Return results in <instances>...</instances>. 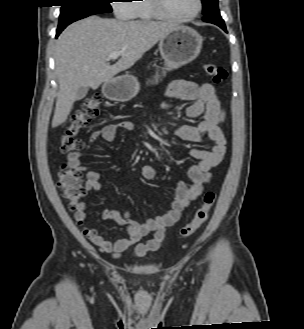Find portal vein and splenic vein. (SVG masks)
<instances>
[{
    "mask_svg": "<svg viewBox=\"0 0 304 329\" xmlns=\"http://www.w3.org/2000/svg\"><path fill=\"white\" fill-rule=\"evenodd\" d=\"M121 55H122L121 52H113V53H110V54L108 55L107 60H108V61H109V60H117V59L119 58V56H121Z\"/></svg>",
    "mask_w": 304,
    "mask_h": 329,
    "instance_id": "obj_1",
    "label": "portal vein and splenic vein"
}]
</instances>
